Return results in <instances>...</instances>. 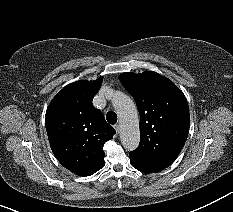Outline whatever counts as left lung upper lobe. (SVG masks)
I'll use <instances>...</instances> for the list:
<instances>
[{"label": "left lung upper lobe", "mask_w": 233, "mask_h": 212, "mask_svg": "<svg viewBox=\"0 0 233 212\" xmlns=\"http://www.w3.org/2000/svg\"><path fill=\"white\" fill-rule=\"evenodd\" d=\"M119 79L134 97L140 113V144L130 153L161 167L170 166L189 132L184 94L171 80L154 71L127 72Z\"/></svg>", "instance_id": "1"}]
</instances>
